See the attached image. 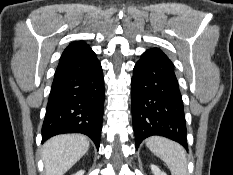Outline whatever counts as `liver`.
I'll list each match as a JSON object with an SVG mask.
<instances>
[{
    "instance_id": "6515ba94",
    "label": "liver",
    "mask_w": 233,
    "mask_h": 175,
    "mask_svg": "<svg viewBox=\"0 0 233 175\" xmlns=\"http://www.w3.org/2000/svg\"><path fill=\"white\" fill-rule=\"evenodd\" d=\"M89 141L81 134H62L43 145L45 175H64L88 151Z\"/></svg>"
}]
</instances>
